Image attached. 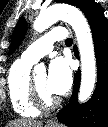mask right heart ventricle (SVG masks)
I'll return each instance as SVG.
<instances>
[{
  "label": "right heart ventricle",
  "instance_id": "obj_1",
  "mask_svg": "<svg viewBox=\"0 0 108 127\" xmlns=\"http://www.w3.org/2000/svg\"><path fill=\"white\" fill-rule=\"evenodd\" d=\"M33 63L22 58L11 66L8 77V94L13 110L21 117L32 118L40 114L31 98L30 69Z\"/></svg>",
  "mask_w": 108,
  "mask_h": 127
}]
</instances>
